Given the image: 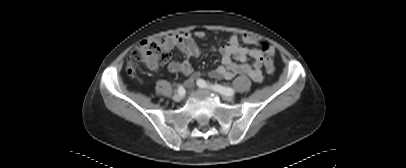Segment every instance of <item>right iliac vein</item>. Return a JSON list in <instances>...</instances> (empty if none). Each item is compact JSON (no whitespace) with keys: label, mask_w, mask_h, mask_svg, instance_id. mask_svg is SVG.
<instances>
[{"label":"right iliac vein","mask_w":406,"mask_h":168,"mask_svg":"<svg viewBox=\"0 0 406 168\" xmlns=\"http://www.w3.org/2000/svg\"><path fill=\"white\" fill-rule=\"evenodd\" d=\"M182 99H183V96H182L181 94H175V95L173 96V100H174L175 102H180Z\"/></svg>","instance_id":"right-iliac-vein-1"}]
</instances>
